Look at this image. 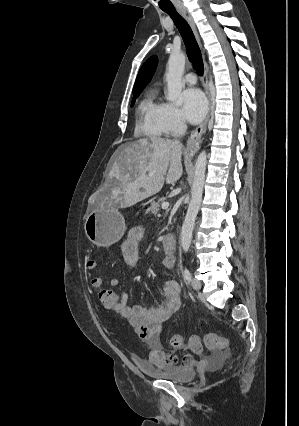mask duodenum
Segmentation results:
<instances>
[{
	"instance_id": "1",
	"label": "duodenum",
	"mask_w": 299,
	"mask_h": 426,
	"mask_svg": "<svg viewBox=\"0 0 299 426\" xmlns=\"http://www.w3.org/2000/svg\"><path fill=\"white\" fill-rule=\"evenodd\" d=\"M163 250L165 256L169 259H175L176 254V245L173 237L171 235H167L163 241Z\"/></svg>"
}]
</instances>
